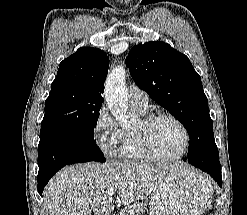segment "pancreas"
I'll return each instance as SVG.
<instances>
[{"instance_id":"1","label":"pancreas","mask_w":247,"mask_h":215,"mask_svg":"<svg viewBox=\"0 0 247 215\" xmlns=\"http://www.w3.org/2000/svg\"><path fill=\"white\" fill-rule=\"evenodd\" d=\"M145 213V208L142 206V204L134 203L133 205H130L126 207L121 215H143Z\"/></svg>"}]
</instances>
